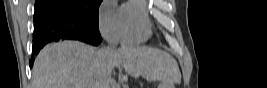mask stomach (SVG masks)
<instances>
[{
  "mask_svg": "<svg viewBox=\"0 0 267 88\" xmlns=\"http://www.w3.org/2000/svg\"><path fill=\"white\" fill-rule=\"evenodd\" d=\"M157 88H174L171 84L162 81Z\"/></svg>",
  "mask_w": 267,
  "mask_h": 88,
  "instance_id": "stomach-1",
  "label": "stomach"
}]
</instances>
